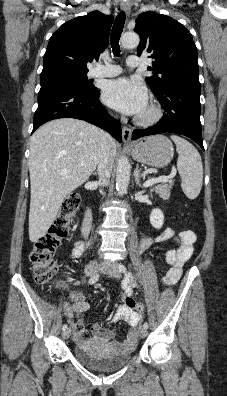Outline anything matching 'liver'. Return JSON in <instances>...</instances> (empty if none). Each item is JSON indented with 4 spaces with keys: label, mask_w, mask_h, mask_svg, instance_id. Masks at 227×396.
<instances>
[{
    "label": "liver",
    "mask_w": 227,
    "mask_h": 396,
    "mask_svg": "<svg viewBox=\"0 0 227 396\" xmlns=\"http://www.w3.org/2000/svg\"><path fill=\"white\" fill-rule=\"evenodd\" d=\"M104 132L74 118L52 120L31 138L29 172L31 200L29 239L42 238L54 222L66 196L96 169ZM115 156L117 142L109 141Z\"/></svg>",
    "instance_id": "1"
}]
</instances>
